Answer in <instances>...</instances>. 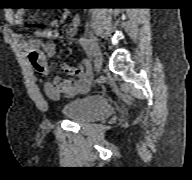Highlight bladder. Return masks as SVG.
Here are the masks:
<instances>
[{"mask_svg": "<svg viewBox=\"0 0 192 180\" xmlns=\"http://www.w3.org/2000/svg\"><path fill=\"white\" fill-rule=\"evenodd\" d=\"M61 114L66 119L84 123L102 120L113 113V107L103 95H90L65 104Z\"/></svg>", "mask_w": 192, "mask_h": 180, "instance_id": "1", "label": "bladder"}]
</instances>
